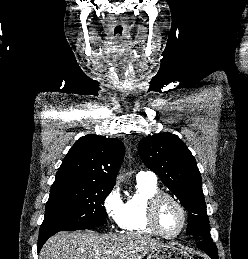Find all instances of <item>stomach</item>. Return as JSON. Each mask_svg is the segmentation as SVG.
I'll list each match as a JSON object with an SVG mask.
<instances>
[{"instance_id": "stomach-1", "label": "stomach", "mask_w": 248, "mask_h": 259, "mask_svg": "<svg viewBox=\"0 0 248 259\" xmlns=\"http://www.w3.org/2000/svg\"><path fill=\"white\" fill-rule=\"evenodd\" d=\"M146 259H193L186 251L173 245H165L151 251Z\"/></svg>"}]
</instances>
